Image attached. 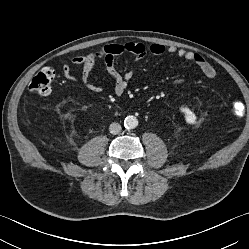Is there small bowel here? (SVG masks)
Masks as SVG:
<instances>
[{"label": "small bowel", "mask_w": 249, "mask_h": 249, "mask_svg": "<svg viewBox=\"0 0 249 249\" xmlns=\"http://www.w3.org/2000/svg\"><path fill=\"white\" fill-rule=\"evenodd\" d=\"M148 52L155 56L169 54L191 61L199 67L207 78L214 79L216 77L215 68L202 55L175 46L166 47L162 44H152L148 49L142 43L138 42L106 44L98 50L73 58L71 63L81 66L80 79L86 88L94 93H99L102 88L91 81L90 75L97 60L103 59L106 65V70L113 82L114 94L116 96H121L126 91L133 78V69L129 68L124 72H120L115 65L116 58L126 54L133 55L135 57L134 61L137 63L145 57ZM71 63H65L62 66V74L66 79L74 81L76 80V76L73 73ZM184 83L185 80L180 78L174 80L172 86L177 87Z\"/></svg>", "instance_id": "c3829d8e"}]
</instances>
